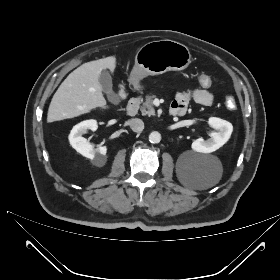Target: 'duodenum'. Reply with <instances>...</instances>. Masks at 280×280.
<instances>
[{
  "instance_id": "410a0bca",
  "label": "duodenum",
  "mask_w": 280,
  "mask_h": 280,
  "mask_svg": "<svg viewBox=\"0 0 280 280\" xmlns=\"http://www.w3.org/2000/svg\"><path fill=\"white\" fill-rule=\"evenodd\" d=\"M141 99H142L141 94H136L129 100L127 106V113L130 116H135L138 113L141 104ZM170 115L172 116L179 115V111L174 107H172L170 110Z\"/></svg>"
}]
</instances>
